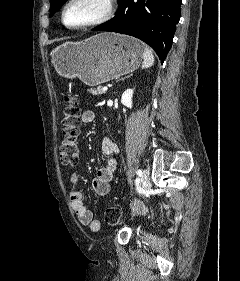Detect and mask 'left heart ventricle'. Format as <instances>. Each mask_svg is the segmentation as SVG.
Masks as SVG:
<instances>
[{"instance_id":"1","label":"left heart ventricle","mask_w":240,"mask_h":281,"mask_svg":"<svg viewBox=\"0 0 240 281\" xmlns=\"http://www.w3.org/2000/svg\"><path fill=\"white\" fill-rule=\"evenodd\" d=\"M104 10L103 0H75L65 13L68 25H79L97 18Z\"/></svg>"}]
</instances>
